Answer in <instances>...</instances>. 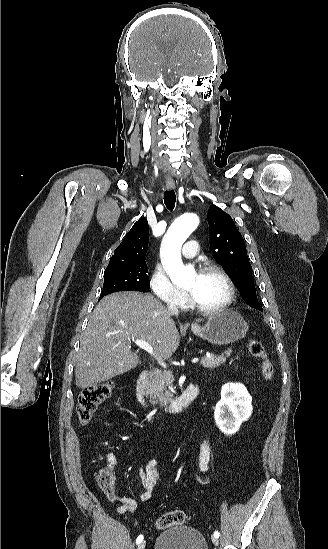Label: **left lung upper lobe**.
Returning a JSON list of instances; mask_svg holds the SVG:
<instances>
[{"mask_svg":"<svg viewBox=\"0 0 328 549\" xmlns=\"http://www.w3.org/2000/svg\"><path fill=\"white\" fill-rule=\"evenodd\" d=\"M209 242L216 261L223 267L250 306L259 304L252 281V267L245 242L229 214L213 205L208 211Z\"/></svg>","mask_w":328,"mask_h":549,"instance_id":"1","label":"left lung upper lobe"}]
</instances>
